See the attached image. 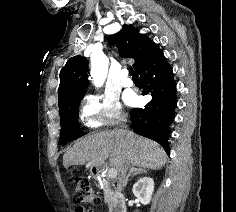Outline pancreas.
<instances>
[{"instance_id": "1", "label": "pancreas", "mask_w": 236, "mask_h": 212, "mask_svg": "<svg viewBox=\"0 0 236 212\" xmlns=\"http://www.w3.org/2000/svg\"><path fill=\"white\" fill-rule=\"evenodd\" d=\"M102 184H103V191H104V199H105V202L106 203H110L111 201V198H112V193H111V190L109 188V184L106 180H102L101 181Z\"/></svg>"}]
</instances>
